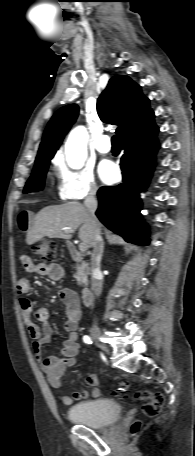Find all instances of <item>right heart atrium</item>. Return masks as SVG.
<instances>
[{
    "instance_id": "right-heart-atrium-1",
    "label": "right heart atrium",
    "mask_w": 195,
    "mask_h": 456,
    "mask_svg": "<svg viewBox=\"0 0 195 456\" xmlns=\"http://www.w3.org/2000/svg\"><path fill=\"white\" fill-rule=\"evenodd\" d=\"M56 168L57 193L61 200H81L97 193L98 186L91 169H71L61 160L56 161Z\"/></svg>"
}]
</instances>
